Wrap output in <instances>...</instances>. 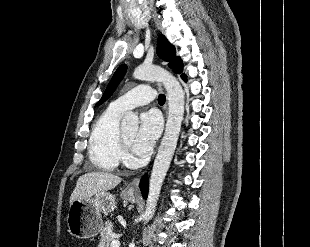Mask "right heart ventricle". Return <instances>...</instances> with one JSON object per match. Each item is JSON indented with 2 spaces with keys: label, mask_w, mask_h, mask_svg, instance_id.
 Returning a JSON list of instances; mask_svg holds the SVG:
<instances>
[{
  "label": "right heart ventricle",
  "mask_w": 310,
  "mask_h": 247,
  "mask_svg": "<svg viewBox=\"0 0 310 247\" xmlns=\"http://www.w3.org/2000/svg\"><path fill=\"white\" fill-rule=\"evenodd\" d=\"M122 111L110 105L94 123L89 138V159L100 170L112 171L124 158L119 120Z\"/></svg>",
  "instance_id": "1"
}]
</instances>
